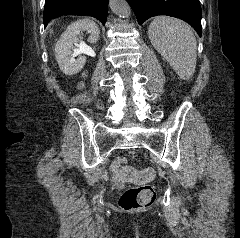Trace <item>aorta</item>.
Listing matches in <instances>:
<instances>
[{
	"label": "aorta",
	"mask_w": 240,
	"mask_h": 238,
	"mask_svg": "<svg viewBox=\"0 0 240 238\" xmlns=\"http://www.w3.org/2000/svg\"><path fill=\"white\" fill-rule=\"evenodd\" d=\"M109 7L116 15L127 18L130 16L131 10L126 0H110Z\"/></svg>",
	"instance_id": "aorta-1"
}]
</instances>
